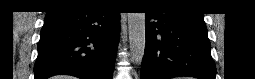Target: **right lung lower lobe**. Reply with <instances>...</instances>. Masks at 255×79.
<instances>
[{
    "mask_svg": "<svg viewBox=\"0 0 255 79\" xmlns=\"http://www.w3.org/2000/svg\"><path fill=\"white\" fill-rule=\"evenodd\" d=\"M119 19V12L101 5L47 12L38 43L35 79L56 74L112 79Z\"/></svg>",
    "mask_w": 255,
    "mask_h": 79,
    "instance_id": "98d812e1",
    "label": "right lung lower lobe"
}]
</instances>
